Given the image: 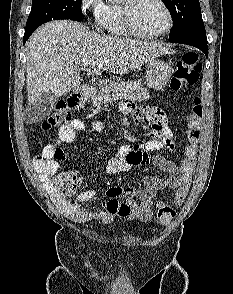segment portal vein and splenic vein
<instances>
[{"label":"portal vein and splenic vein","instance_id":"portal-vein-and-splenic-vein-1","mask_svg":"<svg viewBox=\"0 0 233 294\" xmlns=\"http://www.w3.org/2000/svg\"><path fill=\"white\" fill-rule=\"evenodd\" d=\"M94 64H95V62L92 59H83L81 61V66H83V67H88V66H91Z\"/></svg>","mask_w":233,"mask_h":294}]
</instances>
